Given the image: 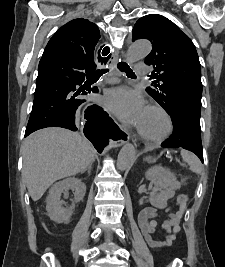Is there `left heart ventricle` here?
<instances>
[{
  "instance_id": "obj_1",
  "label": "left heart ventricle",
  "mask_w": 225,
  "mask_h": 267,
  "mask_svg": "<svg viewBox=\"0 0 225 267\" xmlns=\"http://www.w3.org/2000/svg\"><path fill=\"white\" fill-rule=\"evenodd\" d=\"M138 128L146 136L158 137L166 130L167 122L160 112L147 108Z\"/></svg>"
}]
</instances>
